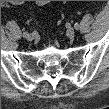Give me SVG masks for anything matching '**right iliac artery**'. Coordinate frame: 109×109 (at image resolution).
<instances>
[{"label": "right iliac artery", "mask_w": 109, "mask_h": 109, "mask_svg": "<svg viewBox=\"0 0 109 109\" xmlns=\"http://www.w3.org/2000/svg\"><path fill=\"white\" fill-rule=\"evenodd\" d=\"M27 34H28L27 32H24V33H23V37H26Z\"/></svg>", "instance_id": "right-iliac-artery-1"}]
</instances>
